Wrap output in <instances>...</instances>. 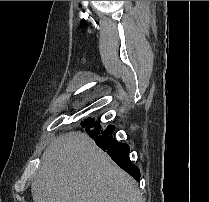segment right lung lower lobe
Wrapping results in <instances>:
<instances>
[{
    "label": "right lung lower lobe",
    "instance_id": "obj_1",
    "mask_svg": "<svg viewBox=\"0 0 209 202\" xmlns=\"http://www.w3.org/2000/svg\"><path fill=\"white\" fill-rule=\"evenodd\" d=\"M82 127L87 134L95 140L96 144L112 158V160L130 174L136 181H140V171L129 158L130 147L125 143H120L113 138L112 134L115 126L109 125L101 129L100 123L94 118L82 121Z\"/></svg>",
    "mask_w": 209,
    "mask_h": 202
}]
</instances>
